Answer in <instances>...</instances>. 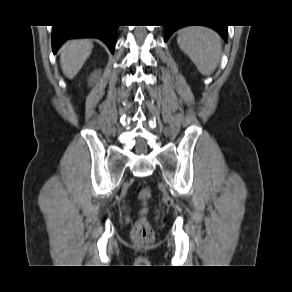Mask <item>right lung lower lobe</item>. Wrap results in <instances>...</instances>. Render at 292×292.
I'll return each instance as SVG.
<instances>
[{
  "instance_id": "98d812e1",
  "label": "right lung lower lobe",
  "mask_w": 292,
  "mask_h": 292,
  "mask_svg": "<svg viewBox=\"0 0 292 292\" xmlns=\"http://www.w3.org/2000/svg\"><path fill=\"white\" fill-rule=\"evenodd\" d=\"M118 26L75 25L59 27L53 26L52 48L56 53L67 39L94 37L102 40L113 53L117 38Z\"/></svg>"
}]
</instances>
